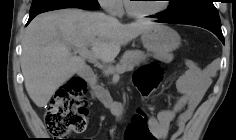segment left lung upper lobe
Masks as SVG:
<instances>
[{
  "mask_svg": "<svg viewBox=\"0 0 236 140\" xmlns=\"http://www.w3.org/2000/svg\"><path fill=\"white\" fill-rule=\"evenodd\" d=\"M162 16L172 21L201 22L221 26L213 0H170Z\"/></svg>",
  "mask_w": 236,
  "mask_h": 140,
  "instance_id": "left-lung-upper-lobe-1",
  "label": "left lung upper lobe"
}]
</instances>
